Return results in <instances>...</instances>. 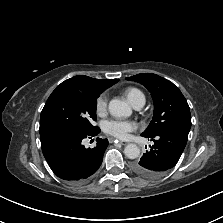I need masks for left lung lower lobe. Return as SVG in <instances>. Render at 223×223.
Instances as JSON below:
<instances>
[{
	"mask_svg": "<svg viewBox=\"0 0 223 223\" xmlns=\"http://www.w3.org/2000/svg\"><path fill=\"white\" fill-rule=\"evenodd\" d=\"M154 142L132 168L139 176L157 178L173 168L187 143L188 135L168 130L154 137H146Z\"/></svg>",
	"mask_w": 223,
	"mask_h": 223,
	"instance_id": "left-lung-lower-lobe-1",
	"label": "left lung lower lobe"
}]
</instances>
